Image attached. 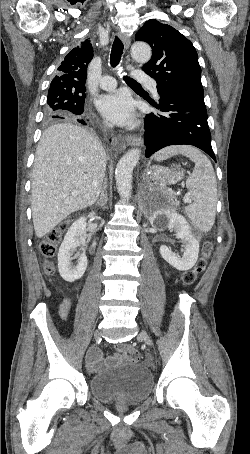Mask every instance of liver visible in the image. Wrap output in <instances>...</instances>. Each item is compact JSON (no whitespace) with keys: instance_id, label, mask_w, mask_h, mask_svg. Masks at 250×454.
I'll return each instance as SVG.
<instances>
[{"instance_id":"6515ba94","label":"liver","mask_w":250,"mask_h":454,"mask_svg":"<svg viewBox=\"0 0 250 454\" xmlns=\"http://www.w3.org/2000/svg\"><path fill=\"white\" fill-rule=\"evenodd\" d=\"M107 156L102 144L82 127L56 124L38 143L32 172L35 234L45 236L69 214L99 197Z\"/></svg>"}]
</instances>
